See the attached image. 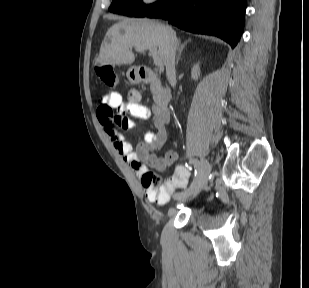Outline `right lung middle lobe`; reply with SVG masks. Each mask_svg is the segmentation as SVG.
Returning <instances> with one entry per match:
<instances>
[{
  "label": "right lung middle lobe",
  "mask_w": 309,
  "mask_h": 288,
  "mask_svg": "<svg viewBox=\"0 0 309 288\" xmlns=\"http://www.w3.org/2000/svg\"><path fill=\"white\" fill-rule=\"evenodd\" d=\"M165 0H159L151 5H145L142 0H113L109 11L131 17H144L153 9L159 7Z\"/></svg>",
  "instance_id": "obj_1"
}]
</instances>
